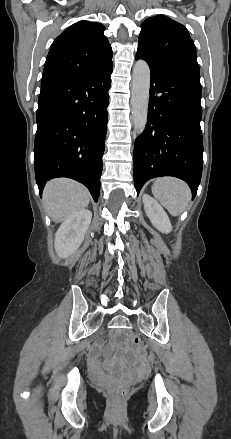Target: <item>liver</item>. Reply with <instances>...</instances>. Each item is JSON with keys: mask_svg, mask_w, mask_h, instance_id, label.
<instances>
[{"mask_svg": "<svg viewBox=\"0 0 231 439\" xmlns=\"http://www.w3.org/2000/svg\"><path fill=\"white\" fill-rule=\"evenodd\" d=\"M44 208L55 223L84 209L90 202L86 187L66 178L49 181L43 191Z\"/></svg>", "mask_w": 231, "mask_h": 439, "instance_id": "6515ba94", "label": "liver"}]
</instances>
